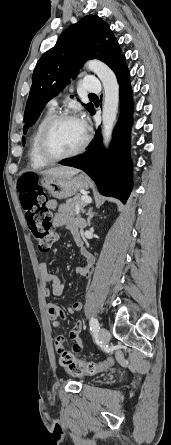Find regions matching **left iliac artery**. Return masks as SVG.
Returning a JSON list of instances; mask_svg holds the SVG:
<instances>
[{
  "mask_svg": "<svg viewBox=\"0 0 171 445\" xmlns=\"http://www.w3.org/2000/svg\"><path fill=\"white\" fill-rule=\"evenodd\" d=\"M90 330H91L93 333H97L98 330H99V322H98V320H97L96 318H94V317H92V318L90 319Z\"/></svg>",
  "mask_w": 171,
  "mask_h": 445,
  "instance_id": "obj_1",
  "label": "left iliac artery"
}]
</instances>
